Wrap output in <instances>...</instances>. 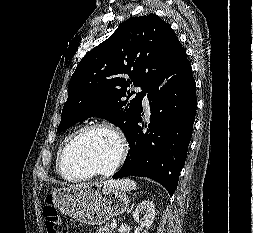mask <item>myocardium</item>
I'll use <instances>...</instances> for the list:
<instances>
[{"mask_svg": "<svg viewBox=\"0 0 253 233\" xmlns=\"http://www.w3.org/2000/svg\"><path fill=\"white\" fill-rule=\"evenodd\" d=\"M94 130H105L110 132L115 136V138L118 141L119 144V152L118 156L115 160V162L112 164L111 167L108 169H103V170H93L90 171L84 175L81 176H69L65 173L64 171V162H65V157L68 149L72 145L74 141H76L79 137L82 135L94 131ZM129 146H128V141L127 138L124 134V132L117 126L107 123V122H95L91 123L88 125H85L81 127L79 130H77L75 133H73L68 140L65 142L60 155H59V160H58V170L59 174L67 181L70 182H79L83 180L90 179L95 176H110L114 172L118 170V168L124 163L127 154H128Z\"/></svg>", "mask_w": 253, "mask_h": 233, "instance_id": "f54148a6", "label": "myocardium"}]
</instances>
